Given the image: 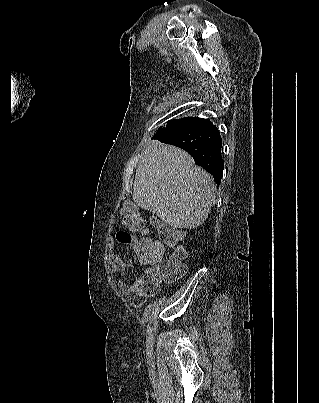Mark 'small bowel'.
<instances>
[{
	"label": "small bowel",
	"mask_w": 319,
	"mask_h": 403,
	"mask_svg": "<svg viewBox=\"0 0 319 403\" xmlns=\"http://www.w3.org/2000/svg\"><path fill=\"white\" fill-rule=\"evenodd\" d=\"M117 235V246H120L121 249H136L137 241L136 236L131 235L129 229H118L116 232ZM138 256V260L142 266H145V271H148L150 268L148 267L151 264H154L151 260H148L142 252H136ZM133 266L132 261H124L117 253L112 252L109 256L108 268L110 271L114 273H119L124 275L125 271L128 268ZM126 299L131 305L132 309H139L140 305L143 304L144 300L147 299V292L144 291V286L141 285V281L136 279L126 285Z\"/></svg>",
	"instance_id": "obj_1"
}]
</instances>
